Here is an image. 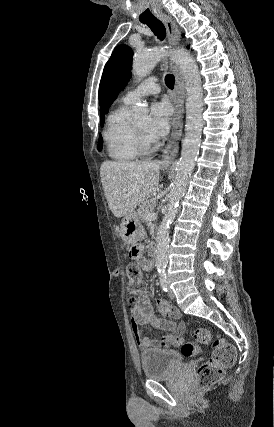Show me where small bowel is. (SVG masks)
Here are the masks:
<instances>
[{"mask_svg": "<svg viewBox=\"0 0 274 427\" xmlns=\"http://www.w3.org/2000/svg\"><path fill=\"white\" fill-rule=\"evenodd\" d=\"M138 254L135 256L138 265L143 270H150L152 264L144 256L143 248L140 246L137 248ZM153 307L157 308L158 313H169L170 311V300L169 299H154ZM130 327L137 342V345L142 351H148L150 349H156L161 347H168L174 338V335H181L185 332V324H175L174 320L157 317L153 314L150 300L146 293H142L137 297L133 304L130 306ZM179 318V313L176 317ZM150 325L154 328L171 332L170 335L149 339L145 336L142 326Z\"/></svg>", "mask_w": 274, "mask_h": 427, "instance_id": "c3829d8e", "label": "small bowel"}]
</instances>
